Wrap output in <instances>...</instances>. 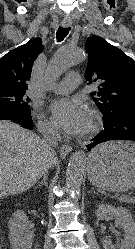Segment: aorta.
<instances>
[{
    "mask_svg": "<svg viewBox=\"0 0 135 249\" xmlns=\"http://www.w3.org/2000/svg\"><path fill=\"white\" fill-rule=\"evenodd\" d=\"M84 53L77 47L63 46L51 59L46 76L48 79H58L68 68L80 63ZM86 155L84 151L75 152L70 160L66 171V184L73 196L77 198L81 191V185L86 168Z\"/></svg>",
    "mask_w": 135,
    "mask_h": 249,
    "instance_id": "1",
    "label": "aorta"
}]
</instances>
